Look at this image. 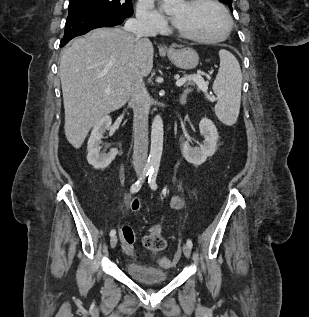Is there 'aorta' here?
Wrapping results in <instances>:
<instances>
[{"instance_id":"obj_1","label":"aorta","mask_w":309,"mask_h":317,"mask_svg":"<svg viewBox=\"0 0 309 317\" xmlns=\"http://www.w3.org/2000/svg\"><path fill=\"white\" fill-rule=\"evenodd\" d=\"M165 8L171 9L173 5L181 0H163ZM163 121L161 116L154 117L151 128V149L148 157V165L151 167H158L160 165L162 151H163Z\"/></svg>"}]
</instances>
